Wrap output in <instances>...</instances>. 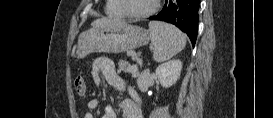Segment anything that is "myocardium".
I'll return each instance as SVG.
<instances>
[{
    "label": "myocardium",
    "mask_w": 273,
    "mask_h": 118,
    "mask_svg": "<svg viewBox=\"0 0 273 118\" xmlns=\"http://www.w3.org/2000/svg\"><path fill=\"white\" fill-rule=\"evenodd\" d=\"M120 6L124 11L125 15L133 19H144L152 16L159 8V0H154L153 5L150 9L143 12H131L127 8L126 0H119Z\"/></svg>",
    "instance_id": "obj_1"
}]
</instances>
